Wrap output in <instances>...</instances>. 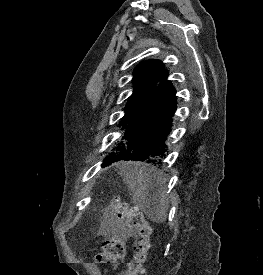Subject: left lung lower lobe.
I'll return each instance as SVG.
<instances>
[{
  "mask_svg": "<svg viewBox=\"0 0 263 275\" xmlns=\"http://www.w3.org/2000/svg\"><path fill=\"white\" fill-rule=\"evenodd\" d=\"M167 73L123 123L125 132L113 152L105 157L103 166L121 160L143 162L148 168L161 164L177 105L176 91L166 79Z\"/></svg>",
  "mask_w": 263,
  "mask_h": 275,
  "instance_id": "1",
  "label": "left lung lower lobe"
}]
</instances>
